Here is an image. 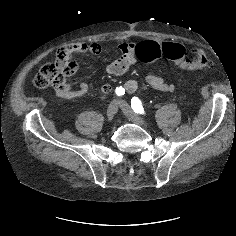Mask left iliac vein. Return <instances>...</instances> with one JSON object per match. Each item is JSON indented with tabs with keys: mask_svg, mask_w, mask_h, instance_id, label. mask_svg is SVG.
<instances>
[{
	"mask_svg": "<svg viewBox=\"0 0 236 236\" xmlns=\"http://www.w3.org/2000/svg\"><path fill=\"white\" fill-rule=\"evenodd\" d=\"M118 104L123 113L131 122L138 124L140 126H146L145 121L141 117L136 115L131 109V107L124 100H120Z\"/></svg>",
	"mask_w": 236,
	"mask_h": 236,
	"instance_id": "obj_1",
	"label": "left iliac vein"
}]
</instances>
